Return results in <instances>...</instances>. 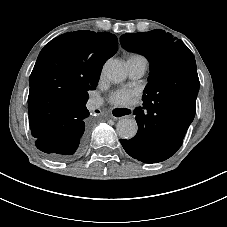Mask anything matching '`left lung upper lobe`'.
<instances>
[{"label": "left lung upper lobe", "mask_w": 227, "mask_h": 227, "mask_svg": "<svg viewBox=\"0 0 227 227\" xmlns=\"http://www.w3.org/2000/svg\"><path fill=\"white\" fill-rule=\"evenodd\" d=\"M120 42L125 49L141 53L150 61V75L142 100L166 98L187 83L199 82L194 55L170 33L155 29L124 34Z\"/></svg>", "instance_id": "left-lung-upper-lobe-1"}]
</instances>
